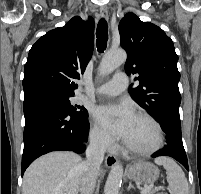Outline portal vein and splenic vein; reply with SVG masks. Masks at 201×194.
I'll return each mask as SVG.
<instances>
[{
  "instance_id": "obj_1",
  "label": "portal vein and splenic vein",
  "mask_w": 201,
  "mask_h": 194,
  "mask_svg": "<svg viewBox=\"0 0 201 194\" xmlns=\"http://www.w3.org/2000/svg\"><path fill=\"white\" fill-rule=\"evenodd\" d=\"M152 187H153V185H150V186H148L146 188H143V189H141L140 193L141 194H147V192L150 191Z\"/></svg>"
}]
</instances>
